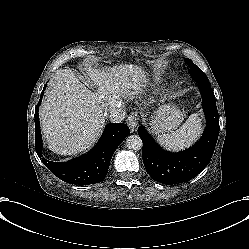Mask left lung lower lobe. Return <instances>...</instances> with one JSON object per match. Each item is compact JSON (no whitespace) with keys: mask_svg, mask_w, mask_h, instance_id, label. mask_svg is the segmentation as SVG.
Masks as SVG:
<instances>
[{"mask_svg":"<svg viewBox=\"0 0 249 249\" xmlns=\"http://www.w3.org/2000/svg\"><path fill=\"white\" fill-rule=\"evenodd\" d=\"M197 82L207 125L194 146L179 153L167 152L156 144L143 126L138 127V135L143 142V163L154 181L167 185L188 181L197 176L212 158L219 135V115L210 83Z\"/></svg>","mask_w":249,"mask_h":249,"instance_id":"left-lung-lower-lobe-1","label":"left lung lower lobe"}]
</instances>
